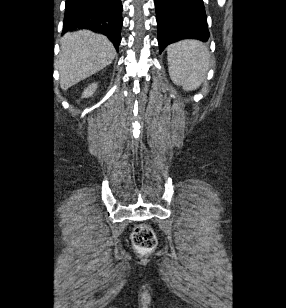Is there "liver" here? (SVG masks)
<instances>
[{
  "instance_id": "liver-1",
  "label": "liver",
  "mask_w": 286,
  "mask_h": 308,
  "mask_svg": "<svg viewBox=\"0 0 286 308\" xmlns=\"http://www.w3.org/2000/svg\"><path fill=\"white\" fill-rule=\"evenodd\" d=\"M60 46L58 69L63 90L99 72L116 55L107 37L87 30L66 33Z\"/></svg>"
}]
</instances>
